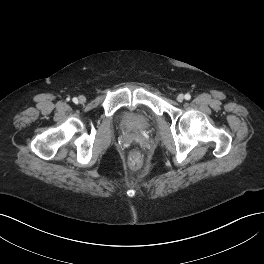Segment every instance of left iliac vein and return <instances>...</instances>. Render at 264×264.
<instances>
[{
    "mask_svg": "<svg viewBox=\"0 0 264 264\" xmlns=\"http://www.w3.org/2000/svg\"><path fill=\"white\" fill-rule=\"evenodd\" d=\"M184 100V95L183 94H179L178 96H177V101L178 102H182Z\"/></svg>",
    "mask_w": 264,
    "mask_h": 264,
    "instance_id": "obj_1",
    "label": "left iliac vein"
}]
</instances>
